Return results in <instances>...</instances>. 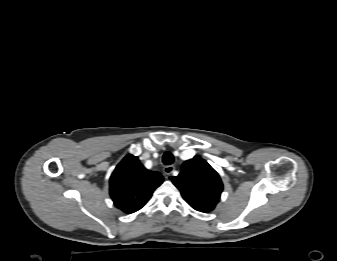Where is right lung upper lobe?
Returning <instances> with one entry per match:
<instances>
[{
  "label": "right lung upper lobe",
  "instance_id": "cb5924a9",
  "mask_svg": "<svg viewBox=\"0 0 337 261\" xmlns=\"http://www.w3.org/2000/svg\"><path fill=\"white\" fill-rule=\"evenodd\" d=\"M162 182L160 173L147 170L138 157L128 154L110 177V195L117 208L130 214L141 209Z\"/></svg>",
  "mask_w": 337,
  "mask_h": 261
}]
</instances>
